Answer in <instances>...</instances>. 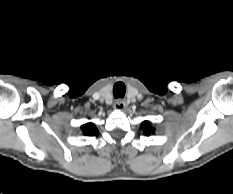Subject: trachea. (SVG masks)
Returning <instances> with one entry per match:
<instances>
[{"instance_id":"obj_1","label":"trachea","mask_w":233,"mask_h":194,"mask_svg":"<svg viewBox=\"0 0 233 194\" xmlns=\"http://www.w3.org/2000/svg\"><path fill=\"white\" fill-rule=\"evenodd\" d=\"M126 87L123 82L115 83L113 87L114 98H123L125 96Z\"/></svg>"}]
</instances>
